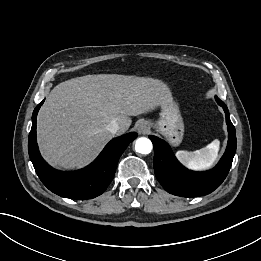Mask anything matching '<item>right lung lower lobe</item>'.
<instances>
[{
	"label": "right lung lower lobe",
	"instance_id": "98d812e1",
	"mask_svg": "<svg viewBox=\"0 0 261 261\" xmlns=\"http://www.w3.org/2000/svg\"><path fill=\"white\" fill-rule=\"evenodd\" d=\"M42 101L32 115V128L28 138V151L35 171L42 183L53 193L76 200L92 199L101 195L112 181L118 160L128 144L137 138L131 132L111 140L97 157L84 169L62 172L53 169L41 157L36 141V119Z\"/></svg>",
	"mask_w": 261,
	"mask_h": 261
}]
</instances>
